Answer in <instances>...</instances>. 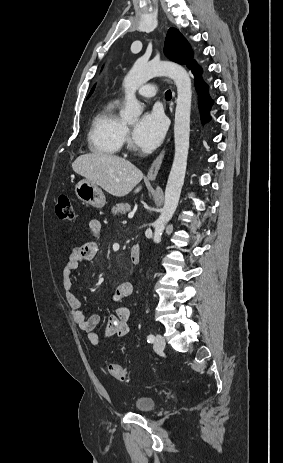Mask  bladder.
<instances>
[{"mask_svg": "<svg viewBox=\"0 0 283 463\" xmlns=\"http://www.w3.org/2000/svg\"><path fill=\"white\" fill-rule=\"evenodd\" d=\"M133 406L138 413L149 414L155 410L156 401L154 398L142 396L134 401Z\"/></svg>", "mask_w": 283, "mask_h": 463, "instance_id": "obj_1", "label": "bladder"}]
</instances>
